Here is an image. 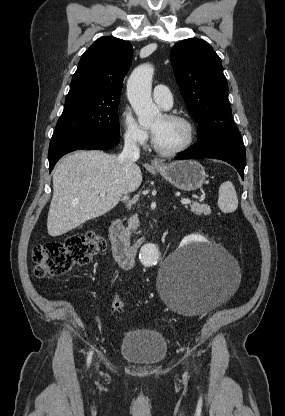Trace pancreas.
Returning a JSON list of instances; mask_svg holds the SVG:
<instances>
[{
	"label": "pancreas",
	"mask_w": 285,
	"mask_h": 416,
	"mask_svg": "<svg viewBox=\"0 0 285 416\" xmlns=\"http://www.w3.org/2000/svg\"><path fill=\"white\" fill-rule=\"evenodd\" d=\"M187 208V206H185ZM190 212H194L196 216H202V214H205V216H209L211 214L210 206H207V204H198V202H193L192 206H190ZM140 226V222L137 218V214L135 216H132V218H129L128 220V232H135V230H138Z\"/></svg>",
	"instance_id": "obj_1"
}]
</instances>
